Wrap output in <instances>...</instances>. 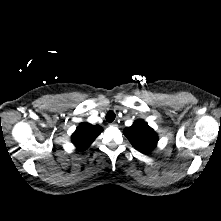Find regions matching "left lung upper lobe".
<instances>
[{
    "mask_svg": "<svg viewBox=\"0 0 221 221\" xmlns=\"http://www.w3.org/2000/svg\"><path fill=\"white\" fill-rule=\"evenodd\" d=\"M124 135L138 151L149 154L157 145L155 131L143 120H137L124 130Z\"/></svg>",
    "mask_w": 221,
    "mask_h": 221,
    "instance_id": "5c2ea615",
    "label": "left lung upper lobe"
}]
</instances>
